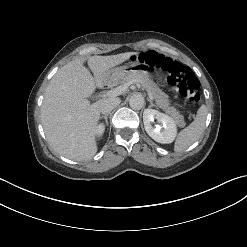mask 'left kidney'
<instances>
[{
    "mask_svg": "<svg viewBox=\"0 0 247 247\" xmlns=\"http://www.w3.org/2000/svg\"><path fill=\"white\" fill-rule=\"evenodd\" d=\"M154 120L158 125L153 126ZM143 122L147 134L158 143H172L177 134L175 121L166 114L157 110L146 109L143 113Z\"/></svg>",
    "mask_w": 247,
    "mask_h": 247,
    "instance_id": "1",
    "label": "left kidney"
}]
</instances>
